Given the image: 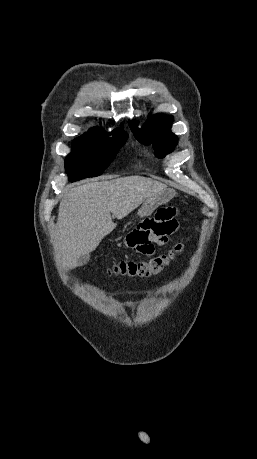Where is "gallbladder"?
<instances>
[{
  "mask_svg": "<svg viewBox=\"0 0 257 459\" xmlns=\"http://www.w3.org/2000/svg\"><path fill=\"white\" fill-rule=\"evenodd\" d=\"M89 260H90V255H89V254L82 255V256L77 260V264H78L79 266H83V265H85Z\"/></svg>",
  "mask_w": 257,
  "mask_h": 459,
  "instance_id": "gallbladder-1",
  "label": "gallbladder"
}]
</instances>
